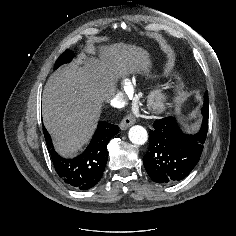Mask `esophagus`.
<instances>
[{
	"instance_id": "esophagus-1",
	"label": "esophagus",
	"mask_w": 236,
	"mask_h": 236,
	"mask_svg": "<svg viewBox=\"0 0 236 236\" xmlns=\"http://www.w3.org/2000/svg\"><path fill=\"white\" fill-rule=\"evenodd\" d=\"M135 123V118L133 115L129 114L127 116H125L121 123H120V128L122 130L127 129L129 126L133 125Z\"/></svg>"
}]
</instances>
